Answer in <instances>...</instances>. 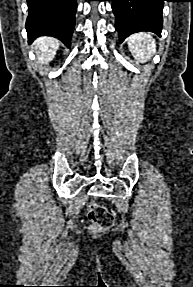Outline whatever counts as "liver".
Returning <instances> with one entry per match:
<instances>
[{
	"mask_svg": "<svg viewBox=\"0 0 193 287\" xmlns=\"http://www.w3.org/2000/svg\"><path fill=\"white\" fill-rule=\"evenodd\" d=\"M60 42L52 37H40L34 43V51L41 65L49 63L59 48Z\"/></svg>",
	"mask_w": 193,
	"mask_h": 287,
	"instance_id": "liver-1",
	"label": "liver"
}]
</instances>
